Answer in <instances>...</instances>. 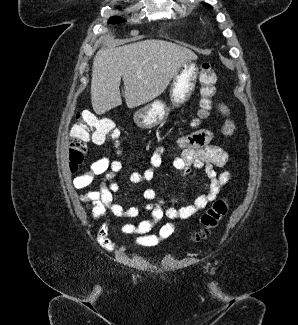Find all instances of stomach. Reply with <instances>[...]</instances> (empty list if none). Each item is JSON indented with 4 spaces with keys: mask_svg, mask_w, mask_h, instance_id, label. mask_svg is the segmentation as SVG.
Returning a JSON list of instances; mask_svg holds the SVG:
<instances>
[{
    "mask_svg": "<svg viewBox=\"0 0 298 325\" xmlns=\"http://www.w3.org/2000/svg\"><path fill=\"white\" fill-rule=\"evenodd\" d=\"M199 68L196 62L188 60L180 64L179 70L174 74L169 88L171 106L163 100H153L135 112L133 118L141 128H153L164 122L169 116L171 108H178L190 100L197 82Z\"/></svg>",
    "mask_w": 298,
    "mask_h": 325,
    "instance_id": "1",
    "label": "stomach"
}]
</instances>
